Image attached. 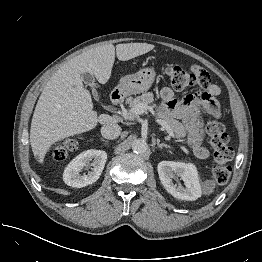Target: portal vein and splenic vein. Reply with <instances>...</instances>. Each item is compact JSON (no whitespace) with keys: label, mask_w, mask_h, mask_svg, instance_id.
Here are the masks:
<instances>
[{"label":"portal vein and splenic vein","mask_w":262,"mask_h":262,"mask_svg":"<svg viewBox=\"0 0 262 262\" xmlns=\"http://www.w3.org/2000/svg\"><path fill=\"white\" fill-rule=\"evenodd\" d=\"M148 109V106H146L143 103L135 105L133 108L129 110V112L135 113V114H143ZM125 115H127V112H125ZM155 122L161 125V130L166 131L168 133L167 139H170V137L175 138V134L172 132V130L169 128L167 123L161 119L155 118Z\"/></svg>","instance_id":"obj_1"}]
</instances>
